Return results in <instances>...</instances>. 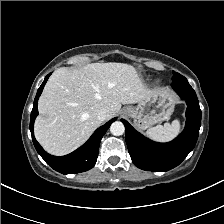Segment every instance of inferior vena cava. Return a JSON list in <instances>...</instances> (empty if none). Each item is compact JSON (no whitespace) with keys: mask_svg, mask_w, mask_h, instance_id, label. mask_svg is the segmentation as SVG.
<instances>
[{"mask_svg":"<svg viewBox=\"0 0 224 224\" xmlns=\"http://www.w3.org/2000/svg\"><path fill=\"white\" fill-rule=\"evenodd\" d=\"M108 117V114H107V110L106 109H101L98 114H97V119L100 121V122H103L107 119Z\"/></svg>","mask_w":224,"mask_h":224,"instance_id":"obj_1","label":"inferior vena cava"}]
</instances>
